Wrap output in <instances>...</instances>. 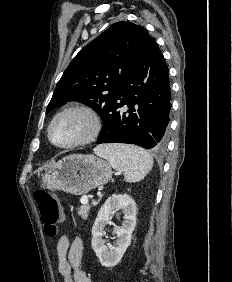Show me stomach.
<instances>
[{
	"mask_svg": "<svg viewBox=\"0 0 232 282\" xmlns=\"http://www.w3.org/2000/svg\"><path fill=\"white\" fill-rule=\"evenodd\" d=\"M111 176V166L105 160L91 154H73L56 162L42 176L41 186L83 195L108 183Z\"/></svg>",
	"mask_w": 232,
	"mask_h": 282,
	"instance_id": "0dacf381",
	"label": "stomach"
}]
</instances>
